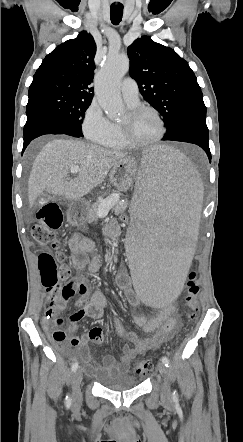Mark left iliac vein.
Returning a JSON list of instances; mask_svg holds the SVG:
<instances>
[{"label": "left iliac vein", "instance_id": "left-iliac-vein-1", "mask_svg": "<svg viewBox=\"0 0 243 442\" xmlns=\"http://www.w3.org/2000/svg\"><path fill=\"white\" fill-rule=\"evenodd\" d=\"M158 370L164 378L163 386L161 389V398L164 402L171 400V390L169 385V373L163 362L158 363Z\"/></svg>", "mask_w": 243, "mask_h": 442}]
</instances>
